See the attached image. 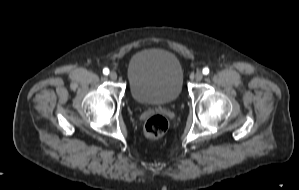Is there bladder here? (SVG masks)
<instances>
[{
	"mask_svg": "<svg viewBox=\"0 0 299 190\" xmlns=\"http://www.w3.org/2000/svg\"><path fill=\"white\" fill-rule=\"evenodd\" d=\"M125 74L131 96L143 105L171 103L183 89L181 60L166 48L149 47L138 51L127 63Z\"/></svg>",
	"mask_w": 299,
	"mask_h": 190,
	"instance_id": "31cf9c89",
	"label": "bladder"
}]
</instances>
